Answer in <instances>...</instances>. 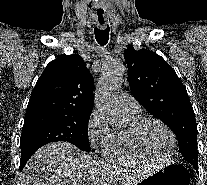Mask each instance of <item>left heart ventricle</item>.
<instances>
[{"label": "left heart ventricle", "instance_id": "1", "mask_svg": "<svg viewBox=\"0 0 207 185\" xmlns=\"http://www.w3.org/2000/svg\"><path fill=\"white\" fill-rule=\"evenodd\" d=\"M142 139L148 153L156 159H165L172 152L171 137L159 124L149 123L143 130Z\"/></svg>", "mask_w": 207, "mask_h": 185}]
</instances>
